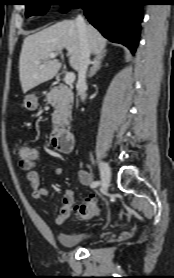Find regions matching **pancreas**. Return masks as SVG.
Wrapping results in <instances>:
<instances>
[{
    "label": "pancreas",
    "mask_w": 174,
    "mask_h": 278,
    "mask_svg": "<svg viewBox=\"0 0 174 278\" xmlns=\"http://www.w3.org/2000/svg\"><path fill=\"white\" fill-rule=\"evenodd\" d=\"M74 96L70 88L65 85L54 87L47 95L45 101L52 105L54 113L52 120L55 124H66L71 116V104Z\"/></svg>",
    "instance_id": "1"
}]
</instances>
